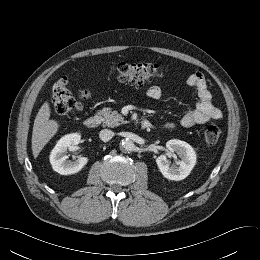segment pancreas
Returning <instances> with one entry per match:
<instances>
[{
	"mask_svg": "<svg viewBox=\"0 0 260 260\" xmlns=\"http://www.w3.org/2000/svg\"><path fill=\"white\" fill-rule=\"evenodd\" d=\"M96 117L103 123V126L115 127L119 126L121 123H125L124 117L117 111H112L111 108H103L98 112Z\"/></svg>",
	"mask_w": 260,
	"mask_h": 260,
	"instance_id": "obj_1",
	"label": "pancreas"
}]
</instances>
